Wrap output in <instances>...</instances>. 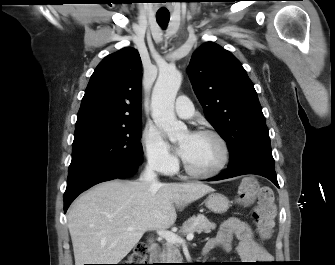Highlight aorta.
Wrapping results in <instances>:
<instances>
[{
    "instance_id": "762f6f07",
    "label": "aorta",
    "mask_w": 335,
    "mask_h": 265,
    "mask_svg": "<svg viewBox=\"0 0 335 265\" xmlns=\"http://www.w3.org/2000/svg\"><path fill=\"white\" fill-rule=\"evenodd\" d=\"M182 81L181 73L175 68L166 67L159 76L152 93V118L171 142L182 138L187 130L184 123L176 119L174 102Z\"/></svg>"
}]
</instances>
